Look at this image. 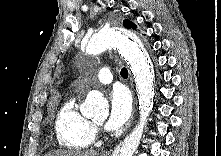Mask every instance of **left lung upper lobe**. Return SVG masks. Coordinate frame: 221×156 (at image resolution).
Masks as SVG:
<instances>
[{
  "label": "left lung upper lobe",
  "instance_id": "left-lung-upper-lobe-1",
  "mask_svg": "<svg viewBox=\"0 0 221 156\" xmlns=\"http://www.w3.org/2000/svg\"><path fill=\"white\" fill-rule=\"evenodd\" d=\"M123 24L128 29H130V28L136 29L135 24L129 20H124Z\"/></svg>",
  "mask_w": 221,
  "mask_h": 156
}]
</instances>
